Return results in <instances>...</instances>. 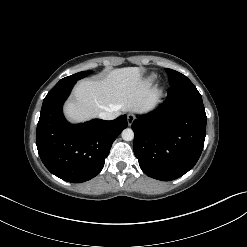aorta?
Instances as JSON below:
<instances>
[{"mask_svg": "<svg viewBox=\"0 0 247 247\" xmlns=\"http://www.w3.org/2000/svg\"><path fill=\"white\" fill-rule=\"evenodd\" d=\"M122 139L125 141H132L134 139V132L130 128H126L121 133Z\"/></svg>", "mask_w": 247, "mask_h": 247, "instance_id": "1", "label": "aorta"}]
</instances>
